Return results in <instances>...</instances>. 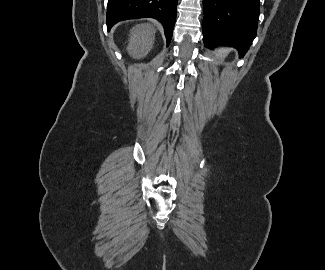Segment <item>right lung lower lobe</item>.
<instances>
[{"label":"right lung lower lobe","instance_id":"right-lung-lower-lobe-1","mask_svg":"<svg viewBox=\"0 0 325 270\" xmlns=\"http://www.w3.org/2000/svg\"><path fill=\"white\" fill-rule=\"evenodd\" d=\"M178 0H108L107 28L115 23L144 17L157 19L164 27L167 44L172 38Z\"/></svg>","mask_w":325,"mask_h":270}]
</instances>
